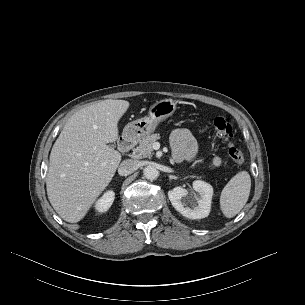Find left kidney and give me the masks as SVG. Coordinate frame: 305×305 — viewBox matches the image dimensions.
<instances>
[{
    "mask_svg": "<svg viewBox=\"0 0 305 305\" xmlns=\"http://www.w3.org/2000/svg\"><path fill=\"white\" fill-rule=\"evenodd\" d=\"M192 194L181 186L175 187L168 192L172 206L189 219H202L209 215L213 188L210 184L196 180L193 182Z\"/></svg>",
    "mask_w": 305,
    "mask_h": 305,
    "instance_id": "5707ae66",
    "label": "left kidney"
}]
</instances>
